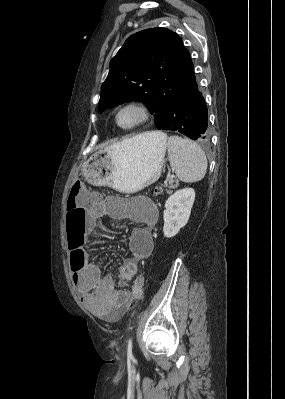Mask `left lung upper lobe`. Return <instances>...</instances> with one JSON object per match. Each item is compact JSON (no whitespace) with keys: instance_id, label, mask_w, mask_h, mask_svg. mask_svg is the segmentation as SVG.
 <instances>
[{"instance_id":"5c2ea615","label":"left lung upper lobe","mask_w":285,"mask_h":399,"mask_svg":"<svg viewBox=\"0 0 285 399\" xmlns=\"http://www.w3.org/2000/svg\"><path fill=\"white\" fill-rule=\"evenodd\" d=\"M193 74L190 53L176 33L166 28L137 32L110 61L98 111L140 101L161 129L174 94Z\"/></svg>"}]
</instances>
